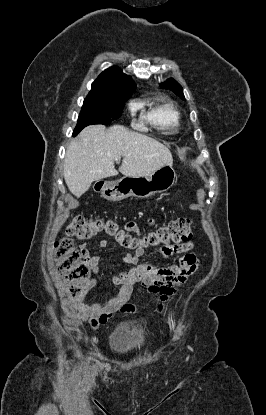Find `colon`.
Wrapping results in <instances>:
<instances>
[{"label":"colon","instance_id":"colon-1","mask_svg":"<svg viewBox=\"0 0 266 415\" xmlns=\"http://www.w3.org/2000/svg\"><path fill=\"white\" fill-rule=\"evenodd\" d=\"M100 233L113 237L126 248L161 247L190 241L193 237V222L187 218H178L156 227L146 237L137 240L112 219L75 216L67 227L69 237L55 244L58 272L68 282L74 294L80 292L82 282L87 279L89 265L86 256L75 247L71 237L87 240Z\"/></svg>","mask_w":266,"mask_h":415}]
</instances>
